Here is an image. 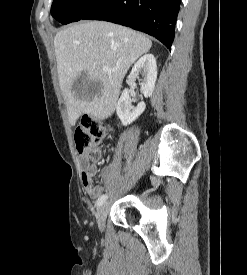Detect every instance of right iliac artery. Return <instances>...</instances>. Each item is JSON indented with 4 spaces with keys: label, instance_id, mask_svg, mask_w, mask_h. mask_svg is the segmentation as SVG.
Returning a JSON list of instances; mask_svg holds the SVG:
<instances>
[{
    "label": "right iliac artery",
    "instance_id": "obj_1",
    "mask_svg": "<svg viewBox=\"0 0 247 275\" xmlns=\"http://www.w3.org/2000/svg\"><path fill=\"white\" fill-rule=\"evenodd\" d=\"M107 199V195L103 194L101 195L96 202L97 207L101 206Z\"/></svg>",
    "mask_w": 247,
    "mask_h": 275
}]
</instances>
